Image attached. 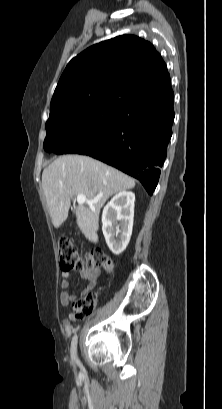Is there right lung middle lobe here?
Masks as SVG:
<instances>
[{
  "instance_id": "1",
  "label": "right lung middle lobe",
  "mask_w": 222,
  "mask_h": 409,
  "mask_svg": "<svg viewBox=\"0 0 222 409\" xmlns=\"http://www.w3.org/2000/svg\"><path fill=\"white\" fill-rule=\"evenodd\" d=\"M118 103L77 104L50 113L44 149L56 154L87 155L107 136Z\"/></svg>"
}]
</instances>
